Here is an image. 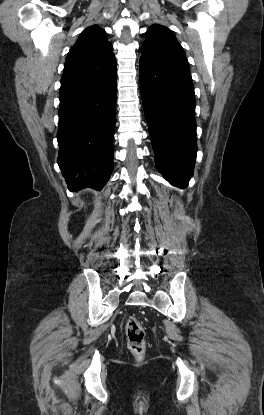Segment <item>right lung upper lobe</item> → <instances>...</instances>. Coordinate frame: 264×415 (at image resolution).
Returning a JSON list of instances; mask_svg holds the SVG:
<instances>
[{
	"label": "right lung upper lobe",
	"instance_id": "obj_1",
	"mask_svg": "<svg viewBox=\"0 0 264 415\" xmlns=\"http://www.w3.org/2000/svg\"><path fill=\"white\" fill-rule=\"evenodd\" d=\"M112 49L101 27L94 25L85 29L67 55L61 88L97 81L115 73Z\"/></svg>",
	"mask_w": 264,
	"mask_h": 415
}]
</instances>
